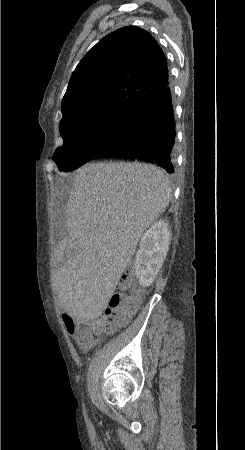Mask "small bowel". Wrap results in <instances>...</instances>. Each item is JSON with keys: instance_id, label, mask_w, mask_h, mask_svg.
<instances>
[{"instance_id": "obj_1", "label": "small bowel", "mask_w": 245, "mask_h": 450, "mask_svg": "<svg viewBox=\"0 0 245 450\" xmlns=\"http://www.w3.org/2000/svg\"><path fill=\"white\" fill-rule=\"evenodd\" d=\"M79 285H80V283L77 280L72 281V288L79 287ZM61 310L63 312L62 316H63L64 322L69 319L74 322L83 321L82 318L77 316L75 307L73 305V298H71L70 296L66 297L63 300V303L61 305ZM70 334L72 335V337L76 341V343L79 344L82 348H88L90 346L96 345L101 340L100 337L93 338L92 336H90V338L87 341H82L79 339V336L77 333L73 332Z\"/></svg>"}]
</instances>
